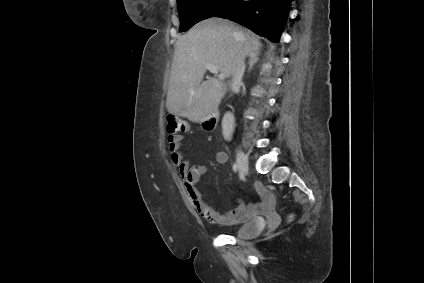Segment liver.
Returning a JSON list of instances; mask_svg holds the SVG:
<instances>
[{"mask_svg":"<svg viewBox=\"0 0 424 283\" xmlns=\"http://www.w3.org/2000/svg\"><path fill=\"white\" fill-rule=\"evenodd\" d=\"M259 38L249 29L220 18L205 19L178 38L166 106L169 113L203 123L216 111L229 82L210 77L205 65L217 66L224 78L233 76L240 56L259 52Z\"/></svg>","mask_w":424,"mask_h":283,"instance_id":"liver-1","label":"liver"}]
</instances>
